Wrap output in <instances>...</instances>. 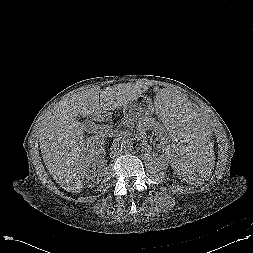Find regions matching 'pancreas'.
Here are the masks:
<instances>
[{"label":"pancreas","instance_id":"cf45deb5","mask_svg":"<svg viewBox=\"0 0 253 253\" xmlns=\"http://www.w3.org/2000/svg\"><path fill=\"white\" fill-rule=\"evenodd\" d=\"M103 130L106 135L111 136V137L114 136V133L110 127H104Z\"/></svg>","mask_w":253,"mask_h":253}]
</instances>
